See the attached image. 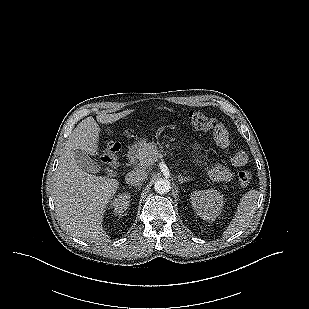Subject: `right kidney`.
<instances>
[{
    "label": "right kidney",
    "instance_id": "right-kidney-1",
    "mask_svg": "<svg viewBox=\"0 0 309 309\" xmlns=\"http://www.w3.org/2000/svg\"><path fill=\"white\" fill-rule=\"evenodd\" d=\"M130 195L128 193L119 194L110 202V208H113L115 215H122L129 206Z\"/></svg>",
    "mask_w": 309,
    "mask_h": 309
}]
</instances>
